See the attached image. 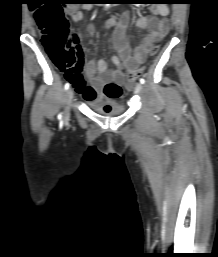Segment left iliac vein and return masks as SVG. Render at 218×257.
<instances>
[{
    "label": "left iliac vein",
    "mask_w": 218,
    "mask_h": 257,
    "mask_svg": "<svg viewBox=\"0 0 218 257\" xmlns=\"http://www.w3.org/2000/svg\"><path fill=\"white\" fill-rule=\"evenodd\" d=\"M142 89H143L142 84L141 83H137L136 86H135V92L137 94H139V93H141Z\"/></svg>",
    "instance_id": "left-iliac-vein-1"
}]
</instances>
